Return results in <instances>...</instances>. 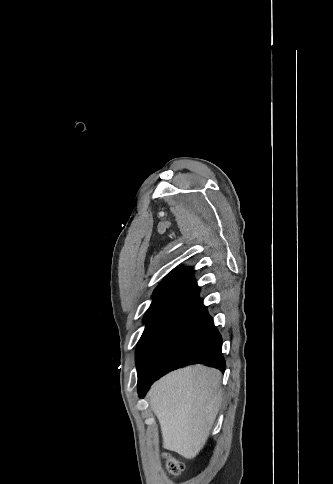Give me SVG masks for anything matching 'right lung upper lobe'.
<instances>
[{"mask_svg": "<svg viewBox=\"0 0 333 484\" xmlns=\"http://www.w3.org/2000/svg\"><path fill=\"white\" fill-rule=\"evenodd\" d=\"M194 282L192 268L179 267L174 269L155 289L152 304L161 303Z\"/></svg>", "mask_w": 333, "mask_h": 484, "instance_id": "right-lung-upper-lobe-1", "label": "right lung upper lobe"}]
</instances>
